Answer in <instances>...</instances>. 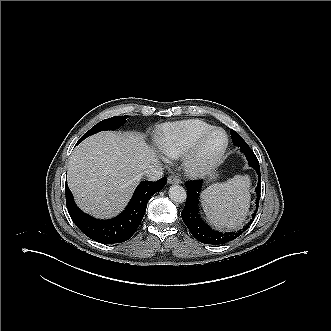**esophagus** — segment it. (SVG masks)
<instances>
[{"instance_id":"1","label":"esophagus","mask_w":331,"mask_h":331,"mask_svg":"<svg viewBox=\"0 0 331 331\" xmlns=\"http://www.w3.org/2000/svg\"><path fill=\"white\" fill-rule=\"evenodd\" d=\"M168 183L169 184H179V183H181V180L179 177H177L175 175H171L168 177Z\"/></svg>"}]
</instances>
